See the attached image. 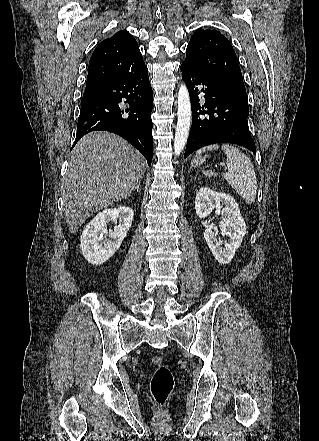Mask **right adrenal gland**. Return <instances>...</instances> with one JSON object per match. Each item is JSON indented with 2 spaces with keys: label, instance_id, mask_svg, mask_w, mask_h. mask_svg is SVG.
I'll use <instances>...</instances> for the list:
<instances>
[{
  "label": "right adrenal gland",
  "instance_id": "2a0ac1e0",
  "mask_svg": "<svg viewBox=\"0 0 319 441\" xmlns=\"http://www.w3.org/2000/svg\"><path fill=\"white\" fill-rule=\"evenodd\" d=\"M136 191L139 193L140 192V182L137 183L136 187H135ZM134 189V190H135Z\"/></svg>",
  "mask_w": 319,
  "mask_h": 441
}]
</instances>
